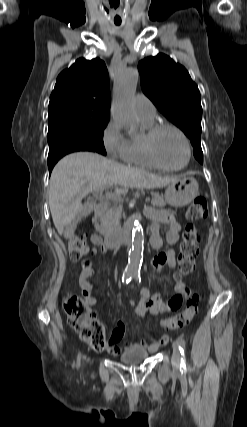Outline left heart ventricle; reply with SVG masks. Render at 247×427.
Returning <instances> with one entry per match:
<instances>
[{
	"instance_id": "1",
	"label": "left heart ventricle",
	"mask_w": 247,
	"mask_h": 427,
	"mask_svg": "<svg viewBox=\"0 0 247 427\" xmlns=\"http://www.w3.org/2000/svg\"><path fill=\"white\" fill-rule=\"evenodd\" d=\"M154 148L157 158L166 166L179 167L185 162L184 142L172 129H164L157 135Z\"/></svg>"
}]
</instances>
